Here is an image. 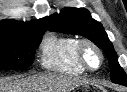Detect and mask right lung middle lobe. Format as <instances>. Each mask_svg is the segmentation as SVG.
<instances>
[{"instance_id": "1", "label": "right lung middle lobe", "mask_w": 127, "mask_h": 92, "mask_svg": "<svg viewBox=\"0 0 127 92\" xmlns=\"http://www.w3.org/2000/svg\"><path fill=\"white\" fill-rule=\"evenodd\" d=\"M44 32L37 30L21 36L0 35V70L29 67Z\"/></svg>"}]
</instances>
